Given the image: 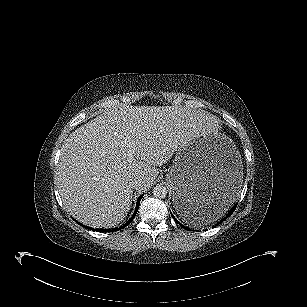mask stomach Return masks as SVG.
<instances>
[{
	"label": "stomach",
	"mask_w": 307,
	"mask_h": 307,
	"mask_svg": "<svg viewBox=\"0 0 307 307\" xmlns=\"http://www.w3.org/2000/svg\"><path fill=\"white\" fill-rule=\"evenodd\" d=\"M243 178L242 159L223 134L199 133L177 150L166 175L177 214L184 220L202 211L229 208Z\"/></svg>",
	"instance_id": "obj_1"
}]
</instances>
